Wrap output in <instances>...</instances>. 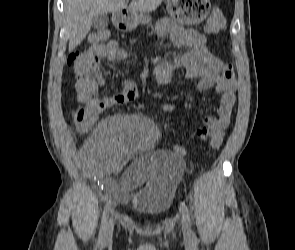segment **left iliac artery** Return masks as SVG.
Listing matches in <instances>:
<instances>
[{
  "label": "left iliac artery",
  "mask_w": 295,
  "mask_h": 250,
  "mask_svg": "<svg viewBox=\"0 0 295 250\" xmlns=\"http://www.w3.org/2000/svg\"><path fill=\"white\" fill-rule=\"evenodd\" d=\"M180 208H181V210H182L188 224L190 225L191 224V219H190V214H189L188 207L186 206V204L184 202H181L180 203ZM190 235H191L192 239L196 238V236H195L194 232L191 230V228H190Z\"/></svg>",
  "instance_id": "1"
}]
</instances>
